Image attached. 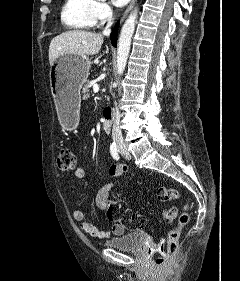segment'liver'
<instances>
[{
  "instance_id": "6515ba94",
  "label": "liver",
  "mask_w": 240,
  "mask_h": 281,
  "mask_svg": "<svg viewBox=\"0 0 240 281\" xmlns=\"http://www.w3.org/2000/svg\"><path fill=\"white\" fill-rule=\"evenodd\" d=\"M103 36L85 30H71L61 33L51 40L49 46L50 65L64 55L89 56L99 53L103 44Z\"/></svg>"
}]
</instances>
